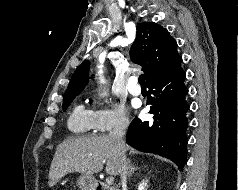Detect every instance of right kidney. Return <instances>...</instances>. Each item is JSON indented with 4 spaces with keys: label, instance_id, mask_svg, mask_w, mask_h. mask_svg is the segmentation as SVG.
Wrapping results in <instances>:
<instances>
[{
    "label": "right kidney",
    "instance_id": "1",
    "mask_svg": "<svg viewBox=\"0 0 238 190\" xmlns=\"http://www.w3.org/2000/svg\"><path fill=\"white\" fill-rule=\"evenodd\" d=\"M147 180H143L140 184H139V186H138V190H146V187L148 186L147 185Z\"/></svg>",
    "mask_w": 238,
    "mask_h": 190
}]
</instances>
